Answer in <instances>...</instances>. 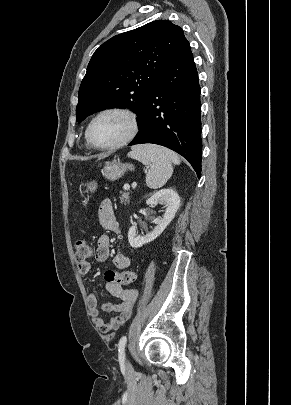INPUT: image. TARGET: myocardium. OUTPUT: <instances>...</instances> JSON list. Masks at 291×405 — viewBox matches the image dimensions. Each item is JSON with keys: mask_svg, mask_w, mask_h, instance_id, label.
<instances>
[{"mask_svg": "<svg viewBox=\"0 0 291 405\" xmlns=\"http://www.w3.org/2000/svg\"><path fill=\"white\" fill-rule=\"evenodd\" d=\"M111 113L120 114V115L124 116L129 122V131L124 138H122L120 141H118L112 145L97 146L91 140V128L97 119H99L103 115L111 114ZM138 131H139V122H138L137 115L131 109H128L125 107L113 106V107H107V108L100 110L92 117V119L88 123L86 131H85V139H86L87 145L91 149H94L97 151H112V150H117L119 148H122V147L126 146L127 144H129L136 137Z\"/></svg>", "mask_w": 291, "mask_h": 405, "instance_id": "obj_1", "label": "myocardium"}]
</instances>
